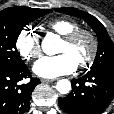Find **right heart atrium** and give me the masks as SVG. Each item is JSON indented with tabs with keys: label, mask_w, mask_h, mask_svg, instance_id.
Here are the masks:
<instances>
[{
	"label": "right heart atrium",
	"mask_w": 114,
	"mask_h": 114,
	"mask_svg": "<svg viewBox=\"0 0 114 114\" xmlns=\"http://www.w3.org/2000/svg\"><path fill=\"white\" fill-rule=\"evenodd\" d=\"M15 47L25 61H31L41 53L40 36L31 26H26L18 33Z\"/></svg>",
	"instance_id": "right-heart-atrium-1"
}]
</instances>
